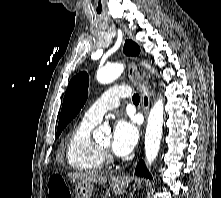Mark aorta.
I'll return each mask as SVG.
<instances>
[{"label":"aorta","instance_id":"obj_1","mask_svg":"<svg viewBox=\"0 0 221 198\" xmlns=\"http://www.w3.org/2000/svg\"><path fill=\"white\" fill-rule=\"evenodd\" d=\"M145 67L150 65L144 63ZM124 65L115 63L107 67H103L97 71L96 78L101 84H108L116 80L123 72ZM164 115V103L162 97H159L150 110L148 123L145 133V156L147 164L153 163L156 159L162 137ZM100 134V130L95 132Z\"/></svg>","mask_w":221,"mask_h":198}]
</instances>
